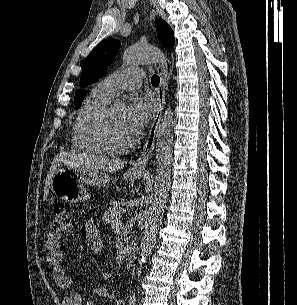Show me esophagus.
Segmentation results:
<instances>
[{
  "label": "esophagus",
  "instance_id": "esophagus-1",
  "mask_svg": "<svg viewBox=\"0 0 297 305\" xmlns=\"http://www.w3.org/2000/svg\"><path fill=\"white\" fill-rule=\"evenodd\" d=\"M157 72L160 76V84L157 90L158 108L155 117L152 121V124L149 128L147 139L143 145L142 151L133 164V168L140 171L146 170L148 161L153 155L155 141H156V134L161 121L162 111L165 105V96L168 88V83H167L168 70H167L166 60H162L158 64Z\"/></svg>",
  "mask_w": 297,
  "mask_h": 305
}]
</instances>
